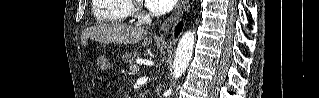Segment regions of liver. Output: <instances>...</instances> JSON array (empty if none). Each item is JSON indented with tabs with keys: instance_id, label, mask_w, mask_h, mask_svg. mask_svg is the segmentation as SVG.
<instances>
[{
	"instance_id": "obj_1",
	"label": "liver",
	"mask_w": 319,
	"mask_h": 98,
	"mask_svg": "<svg viewBox=\"0 0 319 98\" xmlns=\"http://www.w3.org/2000/svg\"><path fill=\"white\" fill-rule=\"evenodd\" d=\"M147 31L122 24H102L86 29L84 39H91L101 43L134 44L144 39Z\"/></svg>"
}]
</instances>
